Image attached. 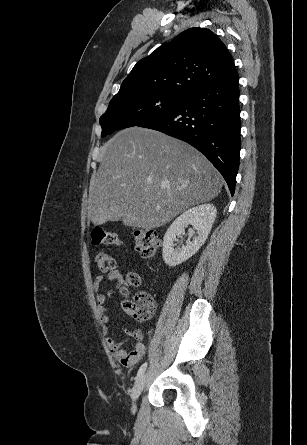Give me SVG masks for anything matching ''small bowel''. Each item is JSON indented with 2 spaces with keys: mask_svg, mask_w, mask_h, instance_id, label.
<instances>
[{
  "mask_svg": "<svg viewBox=\"0 0 307 445\" xmlns=\"http://www.w3.org/2000/svg\"><path fill=\"white\" fill-rule=\"evenodd\" d=\"M105 280L115 282L117 285H122L124 283V276L119 270L114 269L108 272L106 276L97 275L94 278L93 286L96 291L100 319L104 324H109L110 317L105 307L109 293H104L101 291V286ZM124 333L128 337H131L137 341L132 349L125 348L124 341H119L112 336L107 337L106 342L113 356L124 366L131 367L138 363L145 354V346L141 343L143 334L140 330H124Z\"/></svg>",
  "mask_w": 307,
  "mask_h": 445,
  "instance_id": "obj_1",
  "label": "small bowel"
}]
</instances>
